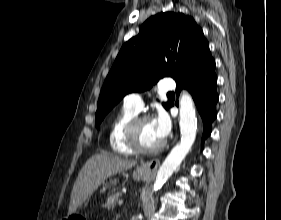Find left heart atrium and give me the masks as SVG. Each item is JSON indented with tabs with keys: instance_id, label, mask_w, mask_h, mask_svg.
<instances>
[{
	"instance_id": "1",
	"label": "left heart atrium",
	"mask_w": 281,
	"mask_h": 220,
	"mask_svg": "<svg viewBox=\"0 0 281 220\" xmlns=\"http://www.w3.org/2000/svg\"><path fill=\"white\" fill-rule=\"evenodd\" d=\"M158 137L163 141L169 134L171 129L170 120L167 115L160 112L157 117L153 120Z\"/></svg>"
}]
</instances>
